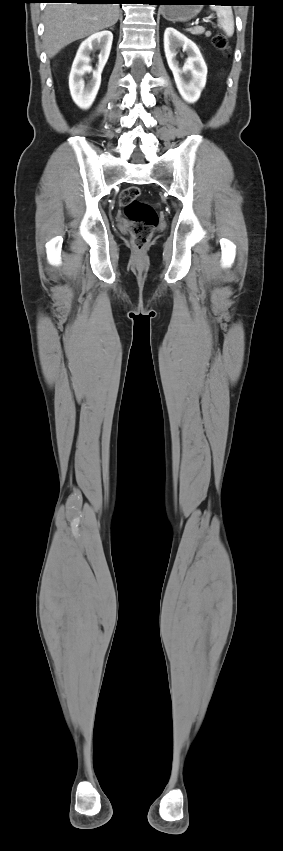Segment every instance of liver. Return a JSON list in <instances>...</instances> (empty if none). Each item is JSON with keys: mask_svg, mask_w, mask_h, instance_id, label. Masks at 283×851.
<instances>
[{"mask_svg": "<svg viewBox=\"0 0 283 851\" xmlns=\"http://www.w3.org/2000/svg\"><path fill=\"white\" fill-rule=\"evenodd\" d=\"M118 4L50 3L44 13V46L48 58L72 42L116 24Z\"/></svg>", "mask_w": 283, "mask_h": 851, "instance_id": "6515ba94", "label": "liver"}]
</instances>
